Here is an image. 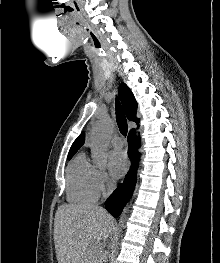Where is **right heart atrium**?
I'll return each mask as SVG.
<instances>
[{
  "instance_id": "1",
  "label": "right heart atrium",
  "mask_w": 220,
  "mask_h": 263,
  "mask_svg": "<svg viewBox=\"0 0 220 263\" xmlns=\"http://www.w3.org/2000/svg\"><path fill=\"white\" fill-rule=\"evenodd\" d=\"M96 181L99 191H105L110 187V181L105 171L97 170Z\"/></svg>"
}]
</instances>
